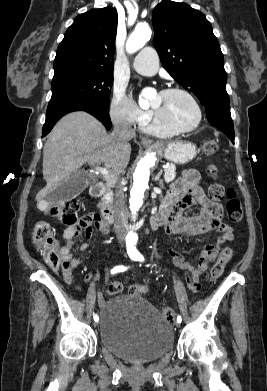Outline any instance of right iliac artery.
Returning a JSON list of instances; mask_svg holds the SVG:
<instances>
[{
    "label": "right iliac artery",
    "instance_id": "obj_1",
    "mask_svg": "<svg viewBox=\"0 0 267 391\" xmlns=\"http://www.w3.org/2000/svg\"><path fill=\"white\" fill-rule=\"evenodd\" d=\"M132 259H133V260H137L136 258H132ZM124 270H126V268H125L124 266H116L115 268H113V269L111 270V273L114 274V273H117V272H122V271H124ZM94 320H95V321H98V320H99V318H98L97 315H94Z\"/></svg>",
    "mask_w": 267,
    "mask_h": 391
}]
</instances>
